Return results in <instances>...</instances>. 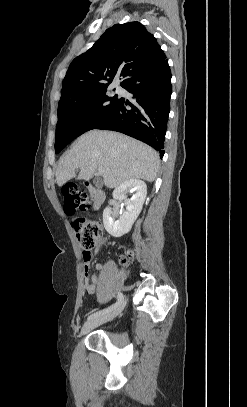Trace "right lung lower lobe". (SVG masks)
Masks as SVG:
<instances>
[{"label":"right lung lower lobe","mask_w":247,"mask_h":407,"mask_svg":"<svg viewBox=\"0 0 247 407\" xmlns=\"http://www.w3.org/2000/svg\"><path fill=\"white\" fill-rule=\"evenodd\" d=\"M123 88L133 94L136 103H129L132 108L128 110L125 107L128 102L122 98L113 112L95 128L134 137L153 147L162 158L172 93L168 60L135 73Z\"/></svg>","instance_id":"98d812e1"}]
</instances>
